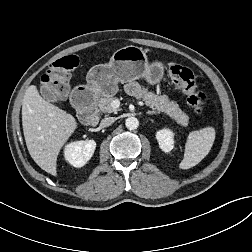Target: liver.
Masks as SVG:
<instances>
[{"mask_svg": "<svg viewBox=\"0 0 252 252\" xmlns=\"http://www.w3.org/2000/svg\"><path fill=\"white\" fill-rule=\"evenodd\" d=\"M22 126L32 159L56 176L57 156L78 126L74 116L45 100L36 86H30L23 99Z\"/></svg>", "mask_w": 252, "mask_h": 252, "instance_id": "obj_1", "label": "liver"}]
</instances>
